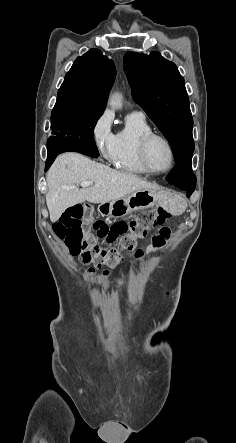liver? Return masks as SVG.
<instances>
[{
	"label": "liver",
	"instance_id": "liver-1",
	"mask_svg": "<svg viewBox=\"0 0 236 443\" xmlns=\"http://www.w3.org/2000/svg\"><path fill=\"white\" fill-rule=\"evenodd\" d=\"M46 203L51 222L75 204L107 203L139 190L157 189L155 184L129 173L113 170L77 153L58 156L47 174ZM83 181L91 187L78 189Z\"/></svg>",
	"mask_w": 236,
	"mask_h": 443
}]
</instances>
